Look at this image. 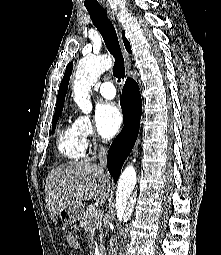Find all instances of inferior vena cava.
Here are the masks:
<instances>
[{"label":"inferior vena cava","instance_id":"602c4592","mask_svg":"<svg viewBox=\"0 0 221 255\" xmlns=\"http://www.w3.org/2000/svg\"><path fill=\"white\" fill-rule=\"evenodd\" d=\"M100 167L105 168L107 164V150L104 147L99 151ZM108 255H121V249L117 241V236H111L109 241Z\"/></svg>","mask_w":221,"mask_h":255}]
</instances>
